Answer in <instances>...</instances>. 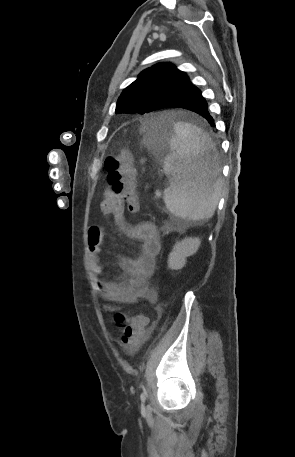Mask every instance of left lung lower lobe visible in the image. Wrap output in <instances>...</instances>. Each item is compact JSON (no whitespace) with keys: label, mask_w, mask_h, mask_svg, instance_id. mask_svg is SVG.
<instances>
[{"label":"left lung lower lobe","mask_w":295,"mask_h":457,"mask_svg":"<svg viewBox=\"0 0 295 457\" xmlns=\"http://www.w3.org/2000/svg\"><path fill=\"white\" fill-rule=\"evenodd\" d=\"M171 107L184 108L196 112L204 117L211 126H215L214 119L208 111V104L205 98L201 95V91L193 84L161 100L156 105L155 110ZM154 127L156 128L157 125H154Z\"/></svg>","instance_id":"1"}]
</instances>
